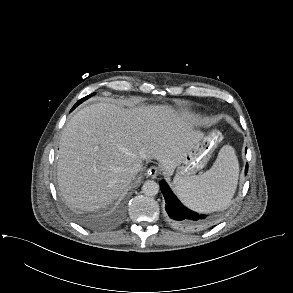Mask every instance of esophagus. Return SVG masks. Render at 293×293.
Here are the masks:
<instances>
[{
	"label": "esophagus",
	"mask_w": 293,
	"mask_h": 293,
	"mask_svg": "<svg viewBox=\"0 0 293 293\" xmlns=\"http://www.w3.org/2000/svg\"><path fill=\"white\" fill-rule=\"evenodd\" d=\"M159 174V169L156 166H152L147 170V175L151 178H156V176Z\"/></svg>",
	"instance_id": "esophagus-1"
}]
</instances>
